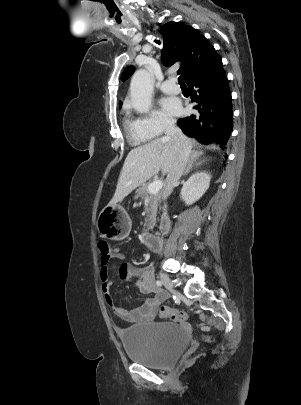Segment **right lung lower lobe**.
<instances>
[{"instance_id":"98d812e1","label":"right lung lower lobe","mask_w":301,"mask_h":405,"mask_svg":"<svg viewBox=\"0 0 301 405\" xmlns=\"http://www.w3.org/2000/svg\"><path fill=\"white\" fill-rule=\"evenodd\" d=\"M193 108L197 110L178 125L188 136L204 144L226 148L233 130L231 92L221 58L208 70L187 81Z\"/></svg>"}]
</instances>
